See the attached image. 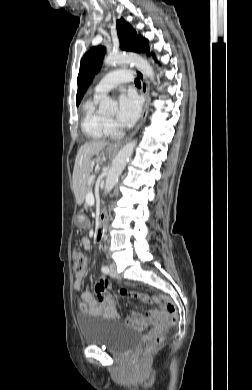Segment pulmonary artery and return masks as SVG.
Listing matches in <instances>:
<instances>
[{
  "label": "pulmonary artery",
  "instance_id": "pulmonary-artery-1",
  "mask_svg": "<svg viewBox=\"0 0 252 390\" xmlns=\"http://www.w3.org/2000/svg\"><path fill=\"white\" fill-rule=\"evenodd\" d=\"M133 80V72L125 69H117L106 74L94 87L96 96L103 95L118 85Z\"/></svg>",
  "mask_w": 252,
  "mask_h": 390
}]
</instances>
